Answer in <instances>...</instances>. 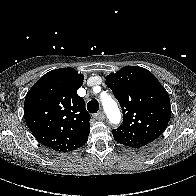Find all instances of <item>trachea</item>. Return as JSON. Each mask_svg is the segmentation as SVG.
I'll return each mask as SVG.
<instances>
[{"mask_svg": "<svg viewBox=\"0 0 196 196\" xmlns=\"http://www.w3.org/2000/svg\"><path fill=\"white\" fill-rule=\"evenodd\" d=\"M87 109L90 113H97L99 110V102L95 99H92L87 103Z\"/></svg>", "mask_w": 196, "mask_h": 196, "instance_id": "1", "label": "trachea"}]
</instances>
